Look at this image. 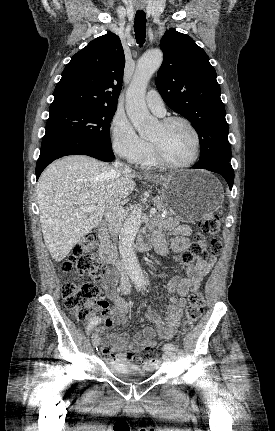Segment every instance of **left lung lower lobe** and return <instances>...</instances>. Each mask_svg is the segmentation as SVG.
I'll use <instances>...</instances> for the list:
<instances>
[{
  "instance_id": "obj_1",
  "label": "left lung lower lobe",
  "mask_w": 275,
  "mask_h": 431,
  "mask_svg": "<svg viewBox=\"0 0 275 431\" xmlns=\"http://www.w3.org/2000/svg\"><path fill=\"white\" fill-rule=\"evenodd\" d=\"M195 169H206L218 174H221L227 181L229 188L232 189L234 183V171L230 163H212L208 165L195 164Z\"/></svg>"
}]
</instances>
